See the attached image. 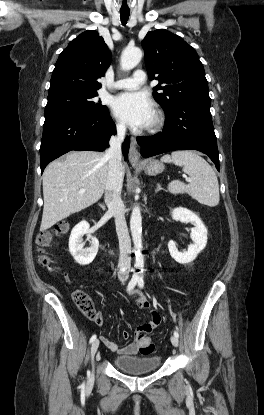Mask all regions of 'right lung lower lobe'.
<instances>
[{"label": "right lung lower lobe", "mask_w": 264, "mask_h": 415, "mask_svg": "<svg viewBox=\"0 0 264 415\" xmlns=\"http://www.w3.org/2000/svg\"><path fill=\"white\" fill-rule=\"evenodd\" d=\"M116 126L109 111L98 114H63L45 118L40 146L41 173L54 159L71 150L103 151ZM127 137L122 146L124 159L129 151Z\"/></svg>", "instance_id": "right-lung-lower-lobe-1"}]
</instances>
